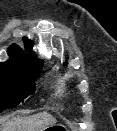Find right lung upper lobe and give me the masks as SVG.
Listing matches in <instances>:
<instances>
[{"instance_id":"obj_1","label":"right lung upper lobe","mask_w":117,"mask_h":131,"mask_svg":"<svg viewBox=\"0 0 117 131\" xmlns=\"http://www.w3.org/2000/svg\"><path fill=\"white\" fill-rule=\"evenodd\" d=\"M24 43L27 50L29 51V54L26 55L18 45L12 44L7 50L10 58L8 61L0 63V69L12 67L22 68L32 76H35L39 73L43 66V62L35 60V57L32 54L33 43L27 38L24 40Z\"/></svg>"}]
</instances>
